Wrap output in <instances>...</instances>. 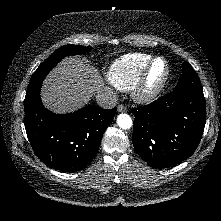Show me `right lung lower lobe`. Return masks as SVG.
<instances>
[{
  "mask_svg": "<svg viewBox=\"0 0 221 221\" xmlns=\"http://www.w3.org/2000/svg\"><path fill=\"white\" fill-rule=\"evenodd\" d=\"M41 85L26 92L24 100L29 142L47 166L63 172L82 170L96 156L104 131L117 109L90 105L73 113L55 114L41 102Z\"/></svg>",
  "mask_w": 221,
  "mask_h": 221,
  "instance_id": "1",
  "label": "right lung lower lobe"
}]
</instances>
